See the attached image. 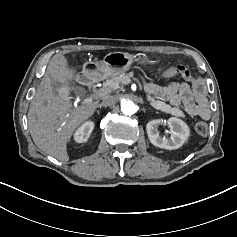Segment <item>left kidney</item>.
I'll use <instances>...</instances> for the list:
<instances>
[{
    "label": "left kidney",
    "mask_w": 237,
    "mask_h": 237,
    "mask_svg": "<svg viewBox=\"0 0 237 237\" xmlns=\"http://www.w3.org/2000/svg\"><path fill=\"white\" fill-rule=\"evenodd\" d=\"M170 127V138L159 135L158 126L161 124L160 119L152 120L147 123L146 130L151 143L159 148L175 150L180 148L188 139L190 129L188 125L179 118L171 117L167 121Z\"/></svg>",
    "instance_id": "left-kidney-1"
}]
</instances>
